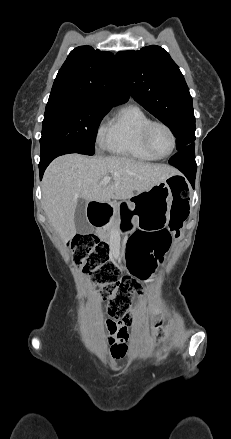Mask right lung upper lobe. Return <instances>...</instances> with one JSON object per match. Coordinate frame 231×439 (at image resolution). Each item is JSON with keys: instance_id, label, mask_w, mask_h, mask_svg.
Returning a JSON list of instances; mask_svg holds the SVG:
<instances>
[{"instance_id": "right-lung-upper-lobe-1", "label": "right lung upper lobe", "mask_w": 231, "mask_h": 439, "mask_svg": "<svg viewBox=\"0 0 231 439\" xmlns=\"http://www.w3.org/2000/svg\"><path fill=\"white\" fill-rule=\"evenodd\" d=\"M128 99L114 55L79 46L60 68L46 106L87 102L112 107Z\"/></svg>"}]
</instances>
